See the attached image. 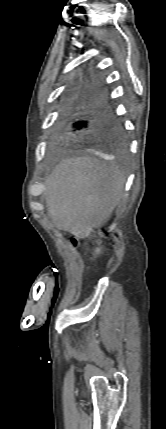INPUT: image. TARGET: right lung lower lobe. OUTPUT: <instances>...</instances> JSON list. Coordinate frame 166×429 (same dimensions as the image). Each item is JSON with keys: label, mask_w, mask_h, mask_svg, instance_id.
Instances as JSON below:
<instances>
[{"label": "right lung lower lobe", "mask_w": 166, "mask_h": 429, "mask_svg": "<svg viewBox=\"0 0 166 429\" xmlns=\"http://www.w3.org/2000/svg\"><path fill=\"white\" fill-rule=\"evenodd\" d=\"M92 91H96V84ZM84 114L82 119L73 124L77 130L86 132L90 137L97 140H106L110 134L121 129L120 123L116 120L100 98L84 103Z\"/></svg>", "instance_id": "obj_1"}]
</instances>
